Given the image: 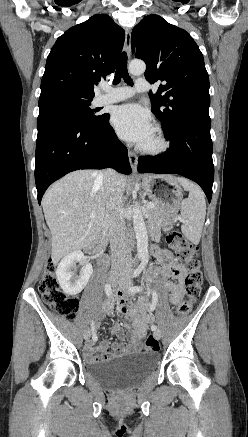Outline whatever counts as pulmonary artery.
Instances as JSON below:
<instances>
[{"mask_svg":"<svg viewBox=\"0 0 248 437\" xmlns=\"http://www.w3.org/2000/svg\"><path fill=\"white\" fill-rule=\"evenodd\" d=\"M150 83L145 78H138L134 87L123 86L118 88H105V93L98 98V104L105 105L132 97L135 93L147 92Z\"/></svg>","mask_w":248,"mask_h":437,"instance_id":"obj_1","label":"pulmonary artery"}]
</instances>
